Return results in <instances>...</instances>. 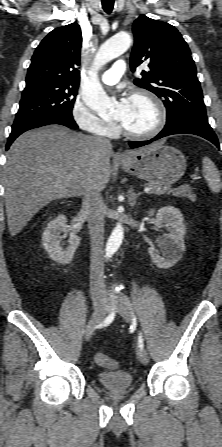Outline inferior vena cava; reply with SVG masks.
Masks as SVG:
<instances>
[{"instance_id":"602c4592","label":"inferior vena cava","mask_w":222,"mask_h":447,"mask_svg":"<svg viewBox=\"0 0 222 447\" xmlns=\"http://www.w3.org/2000/svg\"><path fill=\"white\" fill-rule=\"evenodd\" d=\"M98 142L106 148L111 143L103 137ZM103 184L92 181L84 192V203L88 206V228L91 239L90 286L94 296L105 298L103 290L104 275V202L101 196Z\"/></svg>"}]
</instances>
